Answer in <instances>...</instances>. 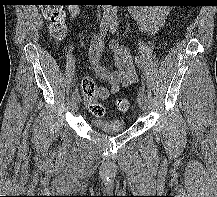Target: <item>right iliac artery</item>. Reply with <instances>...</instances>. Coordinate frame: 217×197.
Segmentation results:
<instances>
[{"instance_id": "82829eb1", "label": "right iliac artery", "mask_w": 217, "mask_h": 197, "mask_svg": "<svg viewBox=\"0 0 217 197\" xmlns=\"http://www.w3.org/2000/svg\"><path fill=\"white\" fill-rule=\"evenodd\" d=\"M108 26H109V21L103 20L101 22V25H100V34H101V37H105V35L107 33V30H108ZM77 99H79V94H78V90L75 89V91L72 94V101L73 100H77Z\"/></svg>"}]
</instances>
